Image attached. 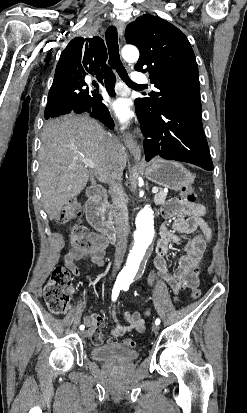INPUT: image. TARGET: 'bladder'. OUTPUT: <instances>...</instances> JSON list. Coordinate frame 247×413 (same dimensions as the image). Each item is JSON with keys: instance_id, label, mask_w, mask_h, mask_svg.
I'll list each match as a JSON object with an SVG mask.
<instances>
[{"instance_id": "obj_1", "label": "bladder", "mask_w": 247, "mask_h": 413, "mask_svg": "<svg viewBox=\"0 0 247 413\" xmlns=\"http://www.w3.org/2000/svg\"><path fill=\"white\" fill-rule=\"evenodd\" d=\"M92 359L111 364H128L138 357V352L121 344H108L91 350Z\"/></svg>"}]
</instances>
